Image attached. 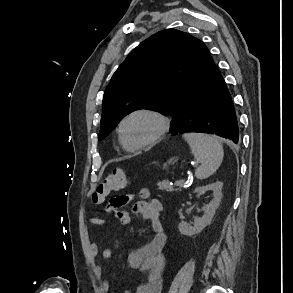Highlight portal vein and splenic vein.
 <instances>
[{
  "label": "portal vein and splenic vein",
  "instance_id": "obj_1",
  "mask_svg": "<svg viewBox=\"0 0 293 293\" xmlns=\"http://www.w3.org/2000/svg\"><path fill=\"white\" fill-rule=\"evenodd\" d=\"M183 183H184V180H179V181L177 182V185L180 186V185H182Z\"/></svg>",
  "mask_w": 293,
  "mask_h": 293
}]
</instances>
